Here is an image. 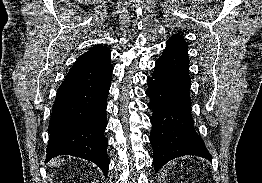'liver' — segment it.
Wrapping results in <instances>:
<instances>
[{
  "instance_id": "liver-1",
  "label": "liver",
  "mask_w": 262,
  "mask_h": 183,
  "mask_svg": "<svg viewBox=\"0 0 262 183\" xmlns=\"http://www.w3.org/2000/svg\"><path fill=\"white\" fill-rule=\"evenodd\" d=\"M62 162H63V160L54 159V160H52V161L50 162V165H51V166H53V165H55V166H60Z\"/></svg>"
}]
</instances>
